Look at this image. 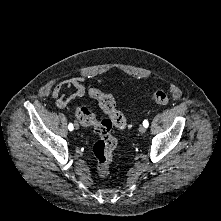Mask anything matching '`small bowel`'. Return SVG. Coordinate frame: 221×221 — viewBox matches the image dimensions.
I'll list each match as a JSON object with an SVG mask.
<instances>
[{
	"instance_id": "1",
	"label": "small bowel",
	"mask_w": 221,
	"mask_h": 221,
	"mask_svg": "<svg viewBox=\"0 0 221 221\" xmlns=\"http://www.w3.org/2000/svg\"><path fill=\"white\" fill-rule=\"evenodd\" d=\"M85 80L86 79L84 77H72L58 84L52 92V96L54 98H57L64 88L74 89V93L68 96H60L57 99L56 104L59 107H63L72 99L84 96L86 94V88L84 86Z\"/></svg>"
}]
</instances>
